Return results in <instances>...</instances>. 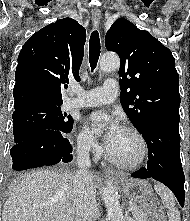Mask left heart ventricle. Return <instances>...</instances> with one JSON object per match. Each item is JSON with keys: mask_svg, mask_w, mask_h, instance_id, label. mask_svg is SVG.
<instances>
[{"mask_svg": "<svg viewBox=\"0 0 190 221\" xmlns=\"http://www.w3.org/2000/svg\"><path fill=\"white\" fill-rule=\"evenodd\" d=\"M109 152L123 162L136 161L141 152V146L134 134L120 129L115 138L107 145Z\"/></svg>", "mask_w": 190, "mask_h": 221, "instance_id": "1", "label": "left heart ventricle"}]
</instances>
